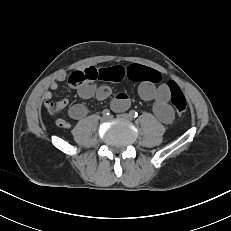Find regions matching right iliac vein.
<instances>
[{
  "instance_id": "obj_1",
  "label": "right iliac vein",
  "mask_w": 231,
  "mask_h": 231,
  "mask_svg": "<svg viewBox=\"0 0 231 231\" xmlns=\"http://www.w3.org/2000/svg\"><path fill=\"white\" fill-rule=\"evenodd\" d=\"M107 119H108V117H106V116L103 117V120H107Z\"/></svg>"
}]
</instances>
